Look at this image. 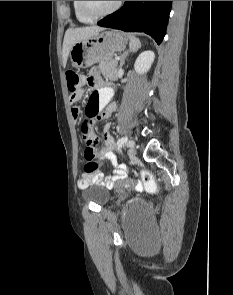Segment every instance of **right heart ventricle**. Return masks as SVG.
<instances>
[{
  "label": "right heart ventricle",
  "instance_id": "right-heart-ventricle-1",
  "mask_svg": "<svg viewBox=\"0 0 233 295\" xmlns=\"http://www.w3.org/2000/svg\"><path fill=\"white\" fill-rule=\"evenodd\" d=\"M72 7L78 21L82 23H89L92 21V19L85 17L83 14H81L78 8V1H72Z\"/></svg>",
  "mask_w": 233,
  "mask_h": 295
}]
</instances>
